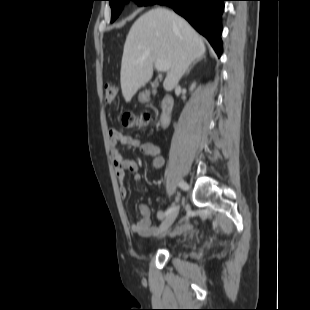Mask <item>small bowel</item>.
<instances>
[{
	"label": "small bowel",
	"instance_id": "obj_1",
	"mask_svg": "<svg viewBox=\"0 0 310 310\" xmlns=\"http://www.w3.org/2000/svg\"><path fill=\"white\" fill-rule=\"evenodd\" d=\"M109 142L111 146V156L113 161V168L117 179L119 181V193L122 198L127 197V190L123 185L125 172L129 171L133 174L132 182L139 183L142 179L141 174L138 172V166L136 162L120 153L117 148V144L120 143L124 146L137 148L140 153L147 156L151 160V165L154 168H160L164 164V158L157 145L151 142H143L139 139H135L129 135L122 133L121 131L111 128L108 131ZM139 211L142 218L131 224L132 231L141 237H150L156 235L160 229V226H153L150 219V208L146 204L139 205ZM165 213L163 211L157 212V218L163 219ZM192 227V223L188 219H183L176 227L174 233H178Z\"/></svg>",
	"mask_w": 310,
	"mask_h": 310
}]
</instances>
